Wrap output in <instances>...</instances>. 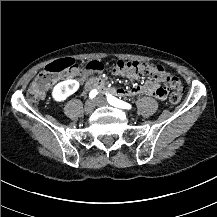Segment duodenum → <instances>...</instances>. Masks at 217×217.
Masks as SVG:
<instances>
[{
    "label": "duodenum",
    "mask_w": 217,
    "mask_h": 217,
    "mask_svg": "<svg viewBox=\"0 0 217 217\" xmlns=\"http://www.w3.org/2000/svg\"><path fill=\"white\" fill-rule=\"evenodd\" d=\"M85 86L87 89H97L106 94H117L118 88L109 87L107 83L98 77H91L85 81Z\"/></svg>",
    "instance_id": "1"
}]
</instances>
